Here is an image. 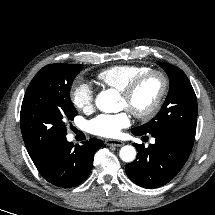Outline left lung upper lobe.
Wrapping results in <instances>:
<instances>
[{
  "mask_svg": "<svg viewBox=\"0 0 215 215\" xmlns=\"http://www.w3.org/2000/svg\"><path fill=\"white\" fill-rule=\"evenodd\" d=\"M170 80L168 96L160 112L148 123L132 129L142 133L174 130L195 138L197 98L184 72L168 63H159Z\"/></svg>",
  "mask_w": 215,
  "mask_h": 215,
  "instance_id": "5c2ea615",
  "label": "left lung upper lobe"
}]
</instances>
